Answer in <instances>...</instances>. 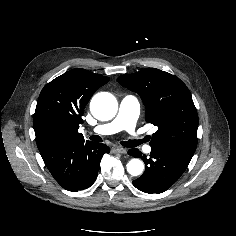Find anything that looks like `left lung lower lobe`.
Segmentation results:
<instances>
[{"label": "left lung lower lobe", "instance_id": "left-lung-lower-lobe-1", "mask_svg": "<svg viewBox=\"0 0 236 236\" xmlns=\"http://www.w3.org/2000/svg\"><path fill=\"white\" fill-rule=\"evenodd\" d=\"M150 157L133 148L128 154L141 158L146 164L145 172L133 185L145 193H162L171 187L184 173L190 160L178 157L160 148L151 147Z\"/></svg>", "mask_w": 236, "mask_h": 236}]
</instances>
